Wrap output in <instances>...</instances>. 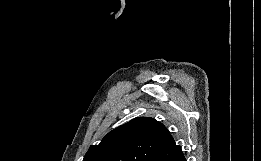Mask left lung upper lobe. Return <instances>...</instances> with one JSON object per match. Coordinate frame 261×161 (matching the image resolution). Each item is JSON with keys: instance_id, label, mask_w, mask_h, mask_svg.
Returning <instances> with one entry per match:
<instances>
[{"instance_id": "1", "label": "left lung upper lobe", "mask_w": 261, "mask_h": 161, "mask_svg": "<svg viewBox=\"0 0 261 161\" xmlns=\"http://www.w3.org/2000/svg\"><path fill=\"white\" fill-rule=\"evenodd\" d=\"M174 142L166 127L149 117L135 118L92 145L83 161H151Z\"/></svg>"}]
</instances>
